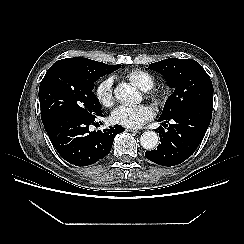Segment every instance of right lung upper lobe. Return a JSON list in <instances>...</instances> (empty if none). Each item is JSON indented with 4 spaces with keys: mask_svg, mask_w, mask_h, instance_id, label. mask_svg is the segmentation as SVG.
<instances>
[{
    "mask_svg": "<svg viewBox=\"0 0 244 244\" xmlns=\"http://www.w3.org/2000/svg\"><path fill=\"white\" fill-rule=\"evenodd\" d=\"M63 60H70L72 62L78 63L80 65H84V66H93V65H98V63H101V62H97V61L90 60L87 58H80V57L66 58V59H62L59 61H63Z\"/></svg>",
    "mask_w": 244,
    "mask_h": 244,
    "instance_id": "1",
    "label": "right lung upper lobe"
}]
</instances>
